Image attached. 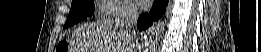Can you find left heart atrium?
I'll list each match as a JSON object with an SVG mask.
<instances>
[{
    "instance_id": "1",
    "label": "left heart atrium",
    "mask_w": 261,
    "mask_h": 52,
    "mask_svg": "<svg viewBox=\"0 0 261 52\" xmlns=\"http://www.w3.org/2000/svg\"><path fill=\"white\" fill-rule=\"evenodd\" d=\"M139 7L141 8H148L150 7L151 2L149 0H137L136 1Z\"/></svg>"
}]
</instances>
